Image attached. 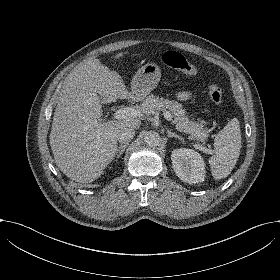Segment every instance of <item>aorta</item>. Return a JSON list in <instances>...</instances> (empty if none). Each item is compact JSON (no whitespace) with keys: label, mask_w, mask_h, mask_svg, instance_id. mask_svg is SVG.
<instances>
[{"label":"aorta","mask_w":280,"mask_h":280,"mask_svg":"<svg viewBox=\"0 0 280 280\" xmlns=\"http://www.w3.org/2000/svg\"><path fill=\"white\" fill-rule=\"evenodd\" d=\"M160 141L159 134L156 131H147L144 134V142L149 146H156Z\"/></svg>","instance_id":"aorta-1"}]
</instances>
